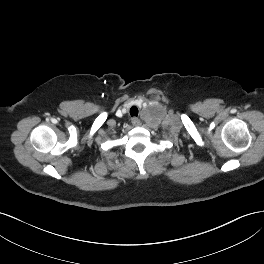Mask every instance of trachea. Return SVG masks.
Segmentation results:
<instances>
[{
    "instance_id": "3493384b",
    "label": "trachea",
    "mask_w": 264,
    "mask_h": 264,
    "mask_svg": "<svg viewBox=\"0 0 264 264\" xmlns=\"http://www.w3.org/2000/svg\"><path fill=\"white\" fill-rule=\"evenodd\" d=\"M130 115L133 116H138V108L136 106H132L130 109Z\"/></svg>"
}]
</instances>
